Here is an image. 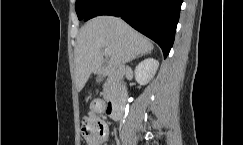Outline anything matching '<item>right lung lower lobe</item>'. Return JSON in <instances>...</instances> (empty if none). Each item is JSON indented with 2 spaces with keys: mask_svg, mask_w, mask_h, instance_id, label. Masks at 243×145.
<instances>
[{
  "mask_svg": "<svg viewBox=\"0 0 243 145\" xmlns=\"http://www.w3.org/2000/svg\"><path fill=\"white\" fill-rule=\"evenodd\" d=\"M183 0H100L84 20L100 15L121 17L154 40L166 58L174 42Z\"/></svg>",
  "mask_w": 243,
  "mask_h": 145,
  "instance_id": "98d812e1",
  "label": "right lung lower lobe"
}]
</instances>
